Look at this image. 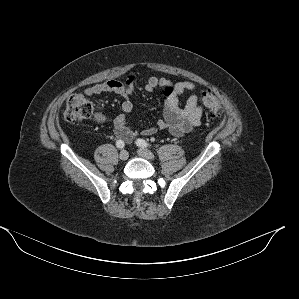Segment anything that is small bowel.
Here are the masks:
<instances>
[{"mask_svg":"<svg viewBox=\"0 0 299 299\" xmlns=\"http://www.w3.org/2000/svg\"><path fill=\"white\" fill-rule=\"evenodd\" d=\"M135 81V76L130 74L124 81L109 80L93 85L84 91L86 96L113 93L122 98V113L114 119L113 125L115 136L126 143H130L138 133L128 121V115L134 108L131 94ZM159 87L164 91L163 118L158 120L154 126L142 129V134L152 135L159 130H166L173 136H182L192 132L201 124L203 107L195 93L197 86L194 82L188 80L174 82L166 78L152 76L145 83V89L148 92H153ZM185 92H192V94L188 97L185 106L180 107L178 97ZM106 120L104 115L98 117L100 122Z\"/></svg>","mask_w":299,"mask_h":299,"instance_id":"obj_1","label":"small bowel"}]
</instances>
